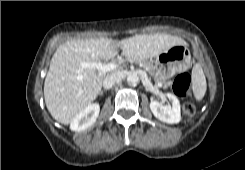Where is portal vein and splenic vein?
<instances>
[{"mask_svg":"<svg viewBox=\"0 0 245 170\" xmlns=\"http://www.w3.org/2000/svg\"><path fill=\"white\" fill-rule=\"evenodd\" d=\"M80 65L82 68L97 69L102 73L109 72L117 67L114 63L103 64L102 62H82Z\"/></svg>","mask_w":245,"mask_h":170,"instance_id":"1","label":"portal vein and splenic vein"}]
</instances>
